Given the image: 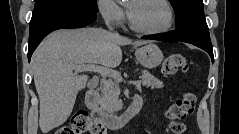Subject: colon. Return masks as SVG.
Wrapping results in <instances>:
<instances>
[{
    "mask_svg": "<svg viewBox=\"0 0 239 134\" xmlns=\"http://www.w3.org/2000/svg\"><path fill=\"white\" fill-rule=\"evenodd\" d=\"M165 75H173L179 70H187L185 58L180 54L168 56L162 65ZM196 102V96L191 92L184 93L167 111L169 128L174 134H184L186 126L182 119L192 114ZM55 134H104L103 126L92 120L86 111H78L73 114L70 124L59 128Z\"/></svg>",
    "mask_w": 239,
    "mask_h": 134,
    "instance_id": "5ec220e1",
    "label": "colon"
}]
</instances>
